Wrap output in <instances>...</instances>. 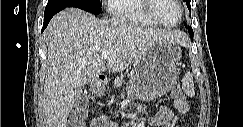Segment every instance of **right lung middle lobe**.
Masks as SVG:
<instances>
[{"label":"right lung middle lobe","instance_id":"right-lung-middle-lobe-1","mask_svg":"<svg viewBox=\"0 0 243 127\" xmlns=\"http://www.w3.org/2000/svg\"><path fill=\"white\" fill-rule=\"evenodd\" d=\"M67 7H76L92 14L101 12L100 0H48L46 12L61 11Z\"/></svg>","mask_w":243,"mask_h":127}]
</instances>
